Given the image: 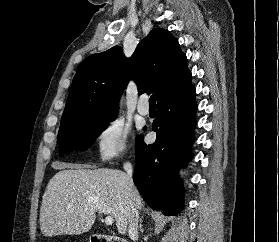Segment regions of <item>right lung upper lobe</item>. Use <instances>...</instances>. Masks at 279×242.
Returning <instances> with one entry per match:
<instances>
[{
  "mask_svg": "<svg viewBox=\"0 0 279 242\" xmlns=\"http://www.w3.org/2000/svg\"><path fill=\"white\" fill-rule=\"evenodd\" d=\"M187 58L168 31H150L126 58L119 46L92 54L78 67L60 126L117 115L118 99L133 79L138 91L158 93V103L191 86Z\"/></svg>",
  "mask_w": 279,
  "mask_h": 242,
  "instance_id": "right-lung-upper-lobe-1",
  "label": "right lung upper lobe"
}]
</instances>
